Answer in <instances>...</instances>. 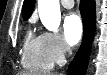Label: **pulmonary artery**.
<instances>
[{
    "instance_id": "1",
    "label": "pulmonary artery",
    "mask_w": 107,
    "mask_h": 75,
    "mask_svg": "<svg viewBox=\"0 0 107 75\" xmlns=\"http://www.w3.org/2000/svg\"><path fill=\"white\" fill-rule=\"evenodd\" d=\"M61 4L63 7L70 9L74 6V1L73 0H61Z\"/></svg>"
}]
</instances>
